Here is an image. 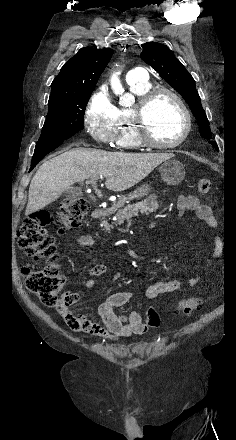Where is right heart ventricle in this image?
Here are the masks:
<instances>
[{
    "mask_svg": "<svg viewBox=\"0 0 236 440\" xmlns=\"http://www.w3.org/2000/svg\"><path fill=\"white\" fill-rule=\"evenodd\" d=\"M128 85L130 90L140 97L152 87L148 80L128 82ZM115 144L124 148H137L141 146L134 131L132 109L130 108H116Z\"/></svg>",
    "mask_w": 236,
    "mask_h": 440,
    "instance_id": "e07e8e85",
    "label": "right heart ventricle"
}]
</instances>
